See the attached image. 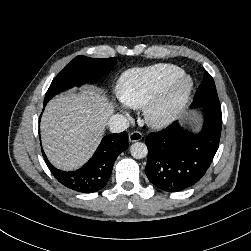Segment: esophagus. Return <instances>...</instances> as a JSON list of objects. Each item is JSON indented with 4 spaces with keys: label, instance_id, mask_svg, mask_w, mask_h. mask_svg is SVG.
I'll list each match as a JSON object with an SVG mask.
<instances>
[{
    "label": "esophagus",
    "instance_id": "1",
    "mask_svg": "<svg viewBox=\"0 0 251 251\" xmlns=\"http://www.w3.org/2000/svg\"><path fill=\"white\" fill-rule=\"evenodd\" d=\"M142 139V133L139 131H133L129 134V141L130 142H137Z\"/></svg>",
    "mask_w": 251,
    "mask_h": 251
}]
</instances>
